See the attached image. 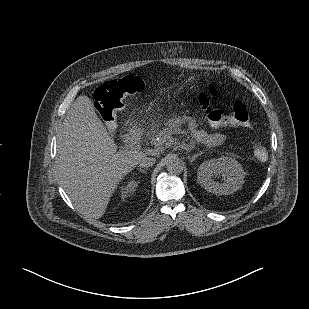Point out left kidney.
<instances>
[{
  "label": "left kidney",
  "instance_id": "5707ae66",
  "mask_svg": "<svg viewBox=\"0 0 309 309\" xmlns=\"http://www.w3.org/2000/svg\"><path fill=\"white\" fill-rule=\"evenodd\" d=\"M222 177V182L216 178ZM245 173L233 158L221 156L203 162L197 171V181L206 191L216 195H230L242 188Z\"/></svg>",
  "mask_w": 309,
  "mask_h": 309
}]
</instances>
